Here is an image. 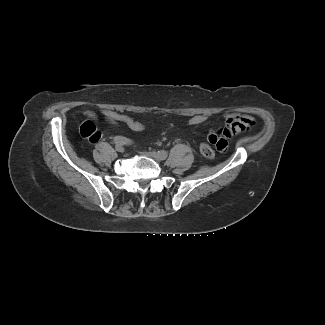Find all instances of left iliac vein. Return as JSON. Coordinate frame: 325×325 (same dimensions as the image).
Segmentation results:
<instances>
[{"instance_id": "left-iliac-vein-1", "label": "left iliac vein", "mask_w": 325, "mask_h": 325, "mask_svg": "<svg viewBox=\"0 0 325 325\" xmlns=\"http://www.w3.org/2000/svg\"><path fill=\"white\" fill-rule=\"evenodd\" d=\"M147 156L153 157L157 162L161 161V158L159 157L158 153L152 152V153H145Z\"/></svg>"}]
</instances>
